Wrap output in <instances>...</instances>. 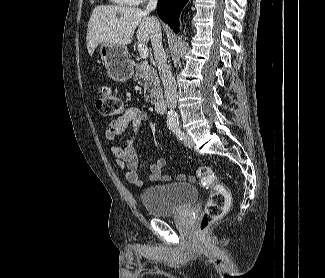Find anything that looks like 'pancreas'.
<instances>
[{
    "label": "pancreas",
    "instance_id": "pancreas-1",
    "mask_svg": "<svg viewBox=\"0 0 325 278\" xmlns=\"http://www.w3.org/2000/svg\"><path fill=\"white\" fill-rule=\"evenodd\" d=\"M134 79L143 82L146 102L154 103L161 95L162 88L157 71L154 66L149 65L146 61L136 64Z\"/></svg>",
    "mask_w": 325,
    "mask_h": 278
}]
</instances>
